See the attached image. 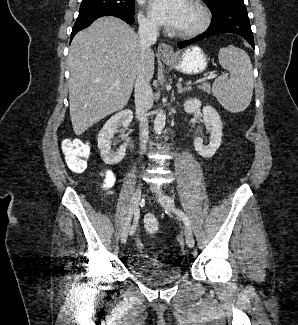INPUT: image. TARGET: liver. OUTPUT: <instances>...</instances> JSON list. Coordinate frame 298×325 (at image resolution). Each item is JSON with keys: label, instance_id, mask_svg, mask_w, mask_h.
Instances as JSON below:
<instances>
[{"label": "liver", "instance_id": "6515ba94", "mask_svg": "<svg viewBox=\"0 0 298 325\" xmlns=\"http://www.w3.org/2000/svg\"><path fill=\"white\" fill-rule=\"evenodd\" d=\"M68 54L69 108L77 136L126 106L140 62V38L127 22L102 16L75 34ZM155 54L148 50L145 70L154 76ZM116 80H121L115 84Z\"/></svg>", "mask_w": 298, "mask_h": 325}]
</instances>
